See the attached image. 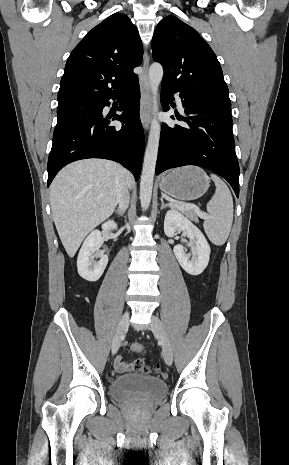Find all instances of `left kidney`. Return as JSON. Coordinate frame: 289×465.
Listing matches in <instances>:
<instances>
[{"label":"left kidney","mask_w":289,"mask_h":465,"mask_svg":"<svg viewBox=\"0 0 289 465\" xmlns=\"http://www.w3.org/2000/svg\"><path fill=\"white\" fill-rule=\"evenodd\" d=\"M177 231H183L190 240L192 254L186 253L183 245H176L173 249L181 267L190 275L201 274L209 263L210 246L203 233L183 214L177 210L167 211L164 220V232L172 237Z\"/></svg>","instance_id":"left-kidney-1"}]
</instances>
